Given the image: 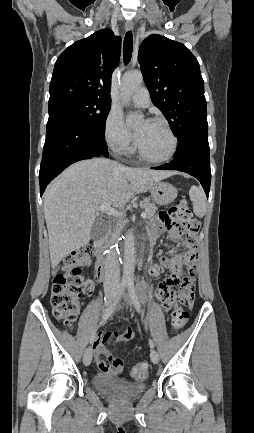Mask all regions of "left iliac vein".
Instances as JSON below:
<instances>
[{
	"label": "left iliac vein",
	"instance_id": "obj_1",
	"mask_svg": "<svg viewBox=\"0 0 254 433\" xmlns=\"http://www.w3.org/2000/svg\"><path fill=\"white\" fill-rule=\"evenodd\" d=\"M122 298H123L124 302L127 305H132V301H131L130 297L127 294L123 293L122 294ZM150 358H151V361L154 364H157L159 362V354H158V352L156 350L152 349L150 351Z\"/></svg>",
	"mask_w": 254,
	"mask_h": 433
}]
</instances>
